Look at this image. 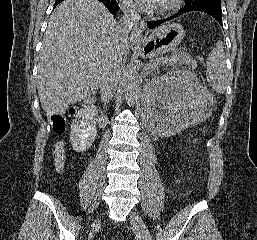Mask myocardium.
I'll return each mask as SVG.
<instances>
[{
    "label": "myocardium",
    "mask_w": 257,
    "mask_h": 240,
    "mask_svg": "<svg viewBox=\"0 0 257 240\" xmlns=\"http://www.w3.org/2000/svg\"><path fill=\"white\" fill-rule=\"evenodd\" d=\"M181 3V0H166L164 1L158 10L161 15L168 14L176 10Z\"/></svg>",
    "instance_id": "f54148a6"
}]
</instances>
